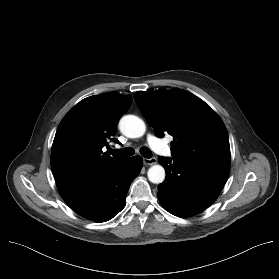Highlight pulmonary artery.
<instances>
[{"label": "pulmonary artery", "mask_w": 279, "mask_h": 279, "mask_svg": "<svg viewBox=\"0 0 279 279\" xmlns=\"http://www.w3.org/2000/svg\"><path fill=\"white\" fill-rule=\"evenodd\" d=\"M148 142L156 150V152H158L161 155H164L168 150L167 145L163 141L155 138L154 136H149Z\"/></svg>", "instance_id": "1"}]
</instances>
